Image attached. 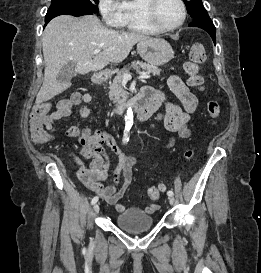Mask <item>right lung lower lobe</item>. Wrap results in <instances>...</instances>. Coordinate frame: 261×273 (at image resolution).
Returning a JSON list of instances; mask_svg holds the SVG:
<instances>
[{"label":"right lung lower lobe","mask_w":261,"mask_h":273,"mask_svg":"<svg viewBox=\"0 0 261 273\" xmlns=\"http://www.w3.org/2000/svg\"><path fill=\"white\" fill-rule=\"evenodd\" d=\"M75 13L77 16H82V15H87L85 13V9L80 5V4H75L74 5ZM51 19H46L45 18V25L50 21Z\"/></svg>","instance_id":"1"}]
</instances>
